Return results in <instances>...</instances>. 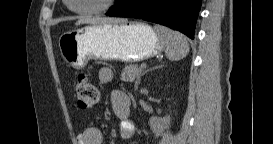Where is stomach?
Segmentation results:
<instances>
[{"mask_svg":"<svg viewBox=\"0 0 273 144\" xmlns=\"http://www.w3.org/2000/svg\"><path fill=\"white\" fill-rule=\"evenodd\" d=\"M59 48L65 62L76 69L85 67L90 59L139 62L165 49L156 30L138 22L101 23L74 29L61 35Z\"/></svg>","mask_w":273,"mask_h":144,"instance_id":"0dacf381","label":"stomach"}]
</instances>
